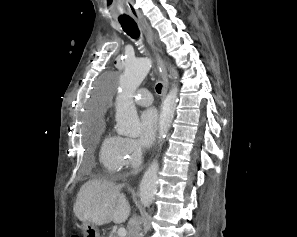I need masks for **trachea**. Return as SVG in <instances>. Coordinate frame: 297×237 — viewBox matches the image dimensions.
<instances>
[{"mask_svg": "<svg viewBox=\"0 0 297 237\" xmlns=\"http://www.w3.org/2000/svg\"><path fill=\"white\" fill-rule=\"evenodd\" d=\"M123 30L129 35L131 36L133 39H137L140 37V31L137 27L136 22L132 19V18H126L123 20L119 21ZM162 90V84L158 83L156 85V91L158 94L161 93Z\"/></svg>", "mask_w": 297, "mask_h": 237, "instance_id": "trachea-1", "label": "trachea"}]
</instances>
